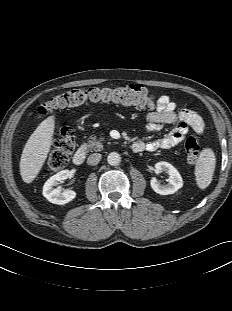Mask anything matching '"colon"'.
<instances>
[{"label": "colon", "instance_id": "1", "mask_svg": "<svg viewBox=\"0 0 232 311\" xmlns=\"http://www.w3.org/2000/svg\"><path fill=\"white\" fill-rule=\"evenodd\" d=\"M87 102H111L139 109H152L155 106V97L140 85L115 88H75L50 99L41 107V112L47 114L54 110L80 106ZM184 147L187 161L194 164L200 150L197 138L193 135L189 136ZM74 149V130L68 126L62 127L49 154L47 170L54 171L63 168Z\"/></svg>", "mask_w": 232, "mask_h": 311}]
</instances>
